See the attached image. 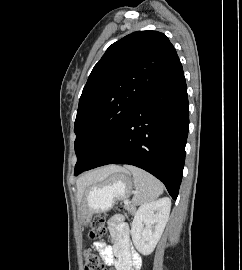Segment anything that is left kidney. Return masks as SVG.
I'll list each match as a JSON object with an SVG mask.
<instances>
[{"label": "left kidney", "mask_w": 242, "mask_h": 270, "mask_svg": "<svg viewBox=\"0 0 242 270\" xmlns=\"http://www.w3.org/2000/svg\"><path fill=\"white\" fill-rule=\"evenodd\" d=\"M170 209L171 200L167 197L138 208L131 225V236L142 255L147 256L154 251L168 221Z\"/></svg>", "instance_id": "1"}]
</instances>
